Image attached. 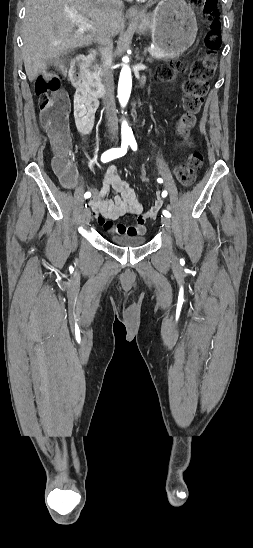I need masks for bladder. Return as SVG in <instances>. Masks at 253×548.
Wrapping results in <instances>:
<instances>
[{
    "instance_id": "1",
    "label": "bladder",
    "mask_w": 253,
    "mask_h": 548,
    "mask_svg": "<svg viewBox=\"0 0 253 548\" xmlns=\"http://www.w3.org/2000/svg\"><path fill=\"white\" fill-rule=\"evenodd\" d=\"M111 241L122 247H140L146 243L147 239L144 234H114Z\"/></svg>"
}]
</instances>
